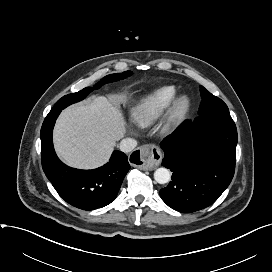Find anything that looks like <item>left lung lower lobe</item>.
<instances>
[{
    "instance_id": "obj_1",
    "label": "left lung lower lobe",
    "mask_w": 272,
    "mask_h": 272,
    "mask_svg": "<svg viewBox=\"0 0 272 272\" xmlns=\"http://www.w3.org/2000/svg\"><path fill=\"white\" fill-rule=\"evenodd\" d=\"M237 130L229 110L184 121L160 144L172 181L160 190L172 209L191 213L214 203L235 171Z\"/></svg>"
}]
</instances>
